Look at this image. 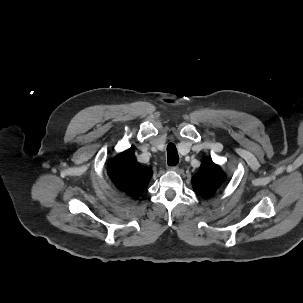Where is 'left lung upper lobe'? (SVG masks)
Segmentation results:
<instances>
[{"label":"left lung upper lobe","mask_w":303,"mask_h":303,"mask_svg":"<svg viewBox=\"0 0 303 303\" xmlns=\"http://www.w3.org/2000/svg\"><path fill=\"white\" fill-rule=\"evenodd\" d=\"M225 179L220 166L210 158L202 162L199 171L192 178V185L197 195L208 197L214 194Z\"/></svg>","instance_id":"left-lung-upper-lobe-1"}]
</instances>
